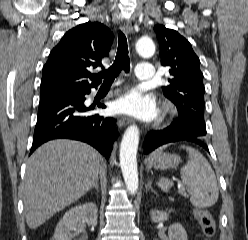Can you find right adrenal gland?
I'll return each instance as SVG.
<instances>
[{
    "instance_id": "obj_1",
    "label": "right adrenal gland",
    "mask_w": 248,
    "mask_h": 240,
    "mask_svg": "<svg viewBox=\"0 0 248 240\" xmlns=\"http://www.w3.org/2000/svg\"><path fill=\"white\" fill-rule=\"evenodd\" d=\"M93 188H95L96 191L99 192V181L98 180L95 182Z\"/></svg>"
}]
</instances>
